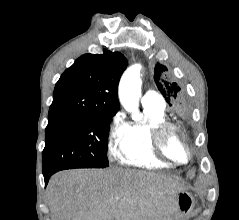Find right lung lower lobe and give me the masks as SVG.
<instances>
[{
  "mask_svg": "<svg viewBox=\"0 0 239 220\" xmlns=\"http://www.w3.org/2000/svg\"><path fill=\"white\" fill-rule=\"evenodd\" d=\"M51 175H45L44 176V180H45V185H47L48 181H49V178H50Z\"/></svg>",
  "mask_w": 239,
  "mask_h": 220,
  "instance_id": "1",
  "label": "right lung lower lobe"
}]
</instances>
